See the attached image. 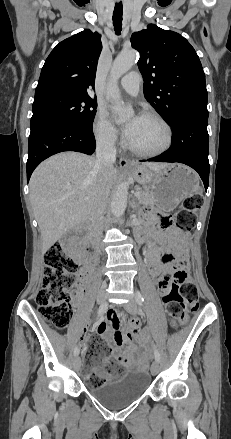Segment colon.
I'll use <instances>...</instances> for the list:
<instances>
[{"label":"colon","instance_id":"1","mask_svg":"<svg viewBox=\"0 0 231 439\" xmlns=\"http://www.w3.org/2000/svg\"><path fill=\"white\" fill-rule=\"evenodd\" d=\"M203 199L199 194L186 198L183 206L177 211L174 218L162 217L160 224L163 228H169L176 224L185 232L193 229L196 222L195 212L200 209ZM169 260V258H167ZM45 274L42 287L36 295L38 312L49 323L58 328H65L71 319V298L76 287L80 270L76 254H68L62 243L58 242L50 246L44 254ZM176 273L167 289L164 291L163 302L166 312L173 324L185 321L187 313L197 310L199 290L197 285L190 281L187 276V261L184 253L175 260ZM138 325H132L131 331L136 332ZM85 362L87 368H91L104 358H107L111 349L97 336L91 337L85 345ZM115 367V363L109 361L104 365L107 375L92 373L87 378L89 387H98L105 382L117 381L122 373H108Z\"/></svg>","mask_w":231,"mask_h":439}]
</instances>
